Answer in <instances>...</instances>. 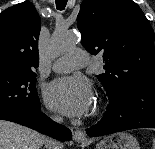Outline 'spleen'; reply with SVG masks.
<instances>
[{"label": "spleen", "instance_id": "spleen-1", "mask_svg": "<svg viewBox=\"0 0 155 149\" xmlns=\"http://www.w3.org/2000/svg\"><path fill=\"white\" fill-rule=\"evenodd\" d=\"M153 149H155V138L153 139Z\"/></svg>", "mask_w": 155, "mask_h": 149}]
</instances>
